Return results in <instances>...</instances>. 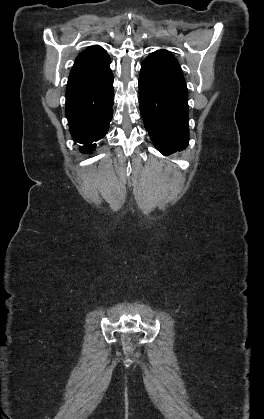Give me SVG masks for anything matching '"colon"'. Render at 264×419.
<instances>
[{"mask_svg":"<svg viewBox=\"0 0 264 419\" xmlns=\"http://www.w3.org/2000/svg\"><path fill=\"white\" fill-rule=\"evenodd\" d=\"M125 344L126 346H130V341L127 339Z\"/></svg>","mask_w":264,"mask_h":419,"instance_id":"5ec220e1","label":"colon"}]
</instances>
